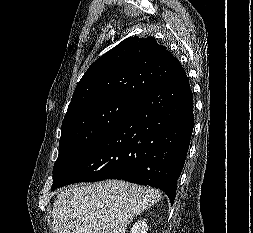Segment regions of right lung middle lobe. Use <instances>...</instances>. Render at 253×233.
<instances>
[{
    "mask_svg": "<svg viewBox=\"0 0 253 233\" xmlns=\"http://www.w3.org/2000/svg\"><path fill=\"white\" fill-rule=\"evenodd\" d=\"M134 102V99L114 97L78 107L65 115L53 183L106 137Z\"/></svg>",
    "mask_w": 253,
    "mask_h": 233,
    "instance_id": "dd1d6c3e",
    "label": "right lung middle lobe"
}]
</instances>
